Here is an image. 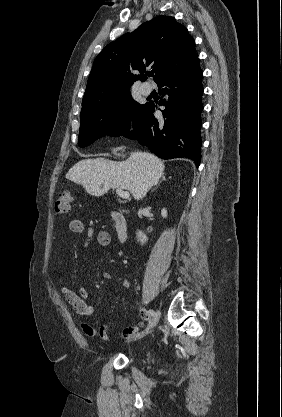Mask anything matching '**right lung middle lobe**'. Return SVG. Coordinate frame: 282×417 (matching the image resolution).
I'll list each match as a JSON object with an SVG mask.
<instances>
[{
    "label": "right lung middle lobe",
    "instance_id": "dd1d6c3e",
    "mask_svg": "<svg viewBox=\"0 0 282 417\" xmlns=\"http://www.w3.org/2000/svg\"><path fill=\"white\" fill-rule=\"evenodd\" d=\"M144 107L131 100L129 90L83 99L78 145L86 147L106 135L119 137L129 130L130 120L134 122Z\"/></svg>",
    "mask_w": 282,
    "mask_h": 417
}]
</instances>
